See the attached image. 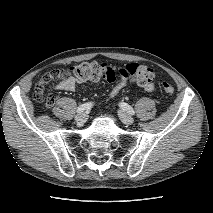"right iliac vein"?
<instances>
[{"instance_id": "right-iliac-vein-1", "label": "right iliac vein", "mask_w": 213, "mask_h": 213, "mask_svg": "<svg viewBox=\"0 0 213 213\" xmlns=\"http://www.w3.org/2000/svg\"><path fill=\"white\" fill-rule=\"evenodd\" d=\"M87 120V115L85 113H79L75 116V121L79 124H83Z\"/></svg>"}]
</instances>
